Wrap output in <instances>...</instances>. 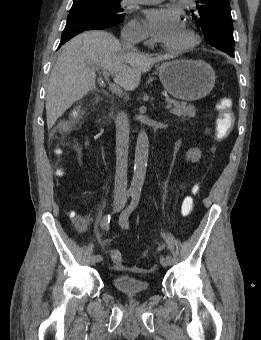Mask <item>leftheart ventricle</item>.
Segmentation results:
<instances>
[{
	"label": "left heart ventricle",
	"instance_id": "b2bd125f",
	"mask_svg": "<svg viewBox=\"0 0 261 340\" xmlns=\"http://www.w3.org/2000/svg\"><path fill=\"white\" fill-rule=\"evenodd\" d=\"M186 40L183 29L171 40L168 44L169 46H176L182 44Z\"/></svg>",
	"mask_w": 261,
	"mask_h": 340
}]
</instances>
